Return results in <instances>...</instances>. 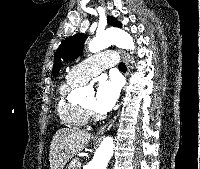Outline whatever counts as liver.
<instances>
[{
	"mask_svg": "<svg viewBox=\"0 0 200 169\" xmlns=\"http://www.w3.org/2000/svg\"><path fill=\"white\" fill-rule=\"evenodd\" d=\"M91 138L85 130L63 128L53 136L49 162L51 169H64L67 162L81 152Z\"/></svg>",
	"mask_w": 200,
	"mask_h": 169,
	"instance_id": "liver-1",
	"label": "liver"
}]
</instances>
